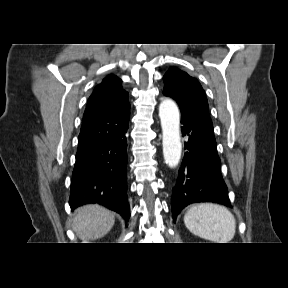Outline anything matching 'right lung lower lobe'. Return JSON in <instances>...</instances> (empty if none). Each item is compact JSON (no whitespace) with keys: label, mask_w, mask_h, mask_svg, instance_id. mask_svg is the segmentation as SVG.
Masks as SVG:
<instances>
[{"label":"right lung lower lobe","mask_w":288,"mask_h":288,"mask_svg":"<svg viewBox=\"0 0 288 288\" xmlns=\"http://www.w3.org/2000/svg\"><path fill=\"white\" fill-rule=\"evenodd\" d=\"M127 127L112 138L77 152L69 204L71 209L98 203L119 213L127 222Z\"/></svg>","instance_id":"98d812e1"}]
</instances>
